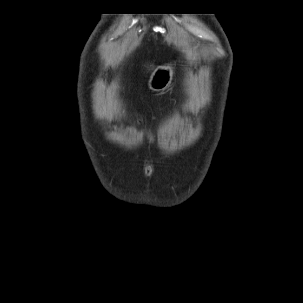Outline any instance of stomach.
<instances>
[{"instance_id": "1", "label": "stomach", "mask_w": 303, "mask_h": 303, "mask_svg": "<svg viewBox=\"0 0 303 303\" xmlns=\"http://www.w3.org/2000/svg\"><path fill=\"white\" fill-rule=\"evenodd\" d=\"M173 77V67L165 65L158 67L151 75L148 86L151 90H165L171 83Z\"/></svg>"}]
</instances>
